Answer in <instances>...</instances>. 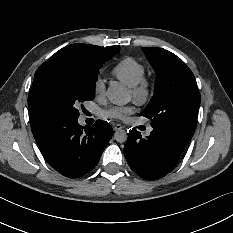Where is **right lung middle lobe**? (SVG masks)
I'll return each instance as SVG.
<instances>
[{"instance_id": "1", "label": "right lung middle lobe", "mask_w": 233, "mask_h": 233, "mask_svg": "<svg viewBox=\"0 0 233 233\" xmlns=\"http://www.w3.org/2000/svg\"><path fill=\"white\" fill-rule=\"evenodd\" d=\"M99 69L65 60L43 63L35 73L28 96L31 125L78 118L80 103L95 97Z\"/></svg>"}]
</instances>
